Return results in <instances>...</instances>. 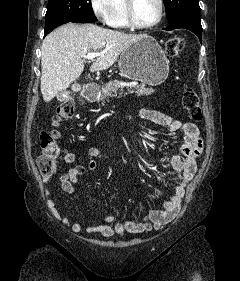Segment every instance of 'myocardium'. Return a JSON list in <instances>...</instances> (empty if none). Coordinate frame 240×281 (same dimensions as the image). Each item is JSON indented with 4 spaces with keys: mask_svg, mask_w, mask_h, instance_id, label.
I'll return each mask as SVG.
<instances>
[{
    "mask_svg": "<svg viewBox=\"0 0 240 281\" xmlns=\"http://www.w3.org/2000/svg\"><path fill=\"white\" fill-rule=\"evenodd\" d=\"M125 1H126V9H127V19L130 27L135 29H141V30L150 29L157 26L162 21L164 16V10H165L164 0H157L159 5L158 15L157 18L149 24H141L136 20L135 0H125Z\"/></svg>",
    "mask_w": 240,
    "mask_h": 281,
    "instance_id": "obj_1",
    "label": "myocardium"
}]
</instances>
